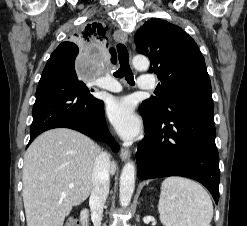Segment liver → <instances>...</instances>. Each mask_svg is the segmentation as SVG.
<instances>
[{"label":"liver","mask_w":247,"mask_h":226,"mask_svg":"<svg viewBox=\"0 0 247 226\" xmlns=\"http://www.w3.org/2000/svg\"><path fill=\"white\" fill-rule=\"evenodd\" d=\"M100 153L90 138L71 129H52L37 137L24 158L22 196L27 226H63L72 207L89 197ZM109 171L115 173V163Z\"/></svg>","instance_id":"obj_1"}]
</instances>
